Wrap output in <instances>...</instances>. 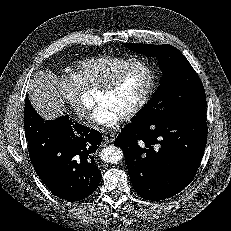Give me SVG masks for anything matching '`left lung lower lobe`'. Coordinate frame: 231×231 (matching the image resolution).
I'll list each match as a JSON object with an SVG mask.
<instances>
[{
    "mask_svg": "<svg viewBox=\"0 0 231 231\" xmlns=\"http://www.w3.org/2000/svg\"><path fill=\"white\" fill-rule=\"evenodd\" d=\"M206 142L205 110L158 123L132 122L116 138L135 191L152 201L169 198L192 181Z\"/></svg>",
    "mask_w": 231,
    "mask_h": 231,
    "instance_id": "0a47b994",
    "label": "left lung lower lobe"
}]
</instances>
